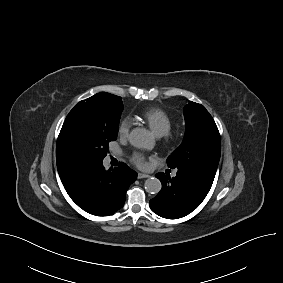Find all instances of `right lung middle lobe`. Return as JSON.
<instances>
[{"label":"right lung middle lobe","mask_w":283,"mask_h":283,"mask_svg":"<svg viewBox=\"0 0 283 283\" xmlns=\"http://www.w3.org/2000/svg\"><path fill=\"white\" fill-rule=\"evenodd\" d=\"M122 98L101 92L80 101L67 115L56 145L58 171L76 163L101 162L117 138Z\"/></svg>","instance_id":"1"}]
</instances>
